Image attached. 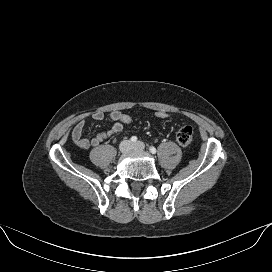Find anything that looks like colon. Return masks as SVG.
Instances as JSON below:
<instances>
[{
  "instance_id": "1",
  "label": "colon",
  "mask_w": 272,
  "mask_h": 272,
  "mask_svg": "<svg viewBox=\"0 0 272 272\" xmlns=\"http://www.w3.org/2000/svg\"><path fill=\"white\" fill-rule=\"evenodd\" d=\"M155 117L158 119H166L169 117V114L165 111H157L155 113ZM119 120L122 124H129L132 121V118L127 115V114H123L121 113L119 116ZM193 138V130L190 126H183L181 127L177 134H176V140L179 143V145L186 147L188 146Z\"/></svg>"
}]
</instances>
